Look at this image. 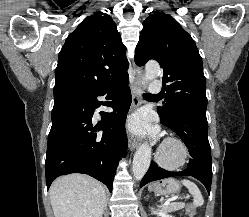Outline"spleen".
Segmentation results:
<instances>
[{"mask_svg":"<svg viewBox=\"0 0 249 217\" xmlns=\"http://www.w3.org/2000/svg\"><path fill=\"white\" fill-rule=\"evenodd\" d=\"M184 186L187 187L188 191L193 195L194 206H202L204 203L203 196L194 182L184 179L181 181Z\"/></svg>","mask_w":249,"mask_h":217,"instance_id":"3e777b00","label":"spleen"}]
</instances>
